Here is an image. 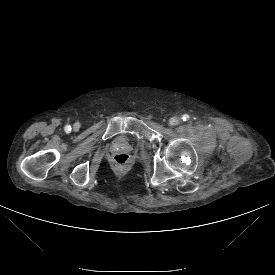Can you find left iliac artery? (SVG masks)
<instances>
[{
    "label": "left iliac artery",
    "instance_id": "44dca946",
    "mask_svg": "<svg viewBox=\"0 0 275 275\" xmlns=\"http://www.w3.org/2000/svg\"><path fill=\"white\" fill-rule=\"evenodd\" d=\"M188 118H189L188 115H184V116L182 117L183 121L187 120Z\"/></svg>",
    "mask_w": 275,
    "mask_h": 275
}]
</instances>
